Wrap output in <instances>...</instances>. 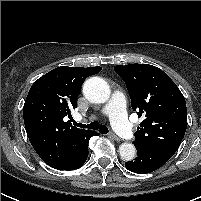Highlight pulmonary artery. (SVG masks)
<instances>
[{
  "instance_id": "pulmonary-artery-1",
  "label": "pulmonary artery",
  "mask_w": 201,
  "mask_h": 201,
  "mask_svg": "<svg viewBox=\"0 0 201 201\" xmlns=\"http://www.w3.org/2000/svg\"><path fill=\"white\" fill-rule=\"evenodd\" d=\"M101 111L111 118L114 129L121 136L128 140L134 137L132 126L126 116L125 99L121 93L114 92Z\"/></svg>"
}]
</instances>
